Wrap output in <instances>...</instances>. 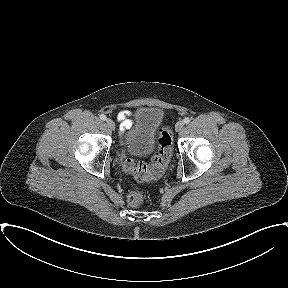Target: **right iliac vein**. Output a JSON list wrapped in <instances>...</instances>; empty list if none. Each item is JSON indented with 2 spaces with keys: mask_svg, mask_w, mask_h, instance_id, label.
Segmentation results:
<instances>
[{
  "mask_svg": "<svg viewBox=\"0 0 288 288\" xmlns=\"http://www.w3.org/2000/svg\"><path fill=\"white\" fill-rule=\"evenodd\" d=\"M106 123L111 130H115V123L113 120L108 118V119H106Z\"/></svg>",
  "mask_w": 288,
  "mask_h": 288,
  "instance_id": "1",
  "label": "right iliac vein"
}]
</instances>
